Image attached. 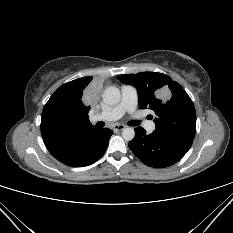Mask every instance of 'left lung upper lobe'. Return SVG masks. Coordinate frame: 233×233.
<instances>
[{
	"instance_id": "left-lung-upper-lobe-1",
	"label": "left lung upper lobe",
	"mask_w": 233,
	"mask_h": 233,
	"mask_svg": "<svg viewBox=\"0 0 233 233\" xmlns=\"http://www.w3.org/2000/svg\"><path fill=\"white\" fill-rule=\"evenodd\" d=\"M124 84L137 88L139 105L155 112V132L173 138L193 140L196 112L192 100L177 82L162 73L141 72L120 75Z\"/></svg>"
}]
</instances>
